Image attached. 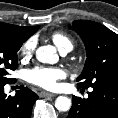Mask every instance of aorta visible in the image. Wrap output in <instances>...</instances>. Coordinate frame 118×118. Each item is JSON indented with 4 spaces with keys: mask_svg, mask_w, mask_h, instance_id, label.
Returning a JSON list of instances; mask_svg holds the SVG:
<instances>
[{
    "mask_svg": "<svg viewBox=\"0 0 118 118\" xmlns=\"http://www.w3.org/2000/svg\"><path fill=\"white\" fill-rule=\"evenodd\" d=\"M36 58L42 63L53 64L57 61L56 49L52 46H41L36 50ZM71 100L66 96H58L55 100L57 110L65 112L71 108Z\"/></svg>",
    "mask_w": 118,
    "mask_h": 118,
    "instance_id": "aorta-1",
    "label": "aorta"
}]
</instances>
